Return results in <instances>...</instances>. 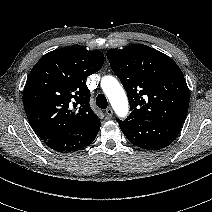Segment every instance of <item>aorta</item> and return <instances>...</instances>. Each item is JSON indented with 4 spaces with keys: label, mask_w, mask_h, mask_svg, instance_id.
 <instances>
[{
    "label": "aorta",
    "mask_w": 212,
    "mask_h": 212,
    "mask_svg": "<svg viewBox=\"0 0 212 212\" xmlns=\"http://www.w3.org/2000/svg\"><path fill=\"white\" fill-rule=\"evenodd\" d=\"M101 88L119 117H125L129 111L126 93L118 80L110 75L101 79Z\"/></svg>",
    "instance_id": "1"
}]
</instances>
